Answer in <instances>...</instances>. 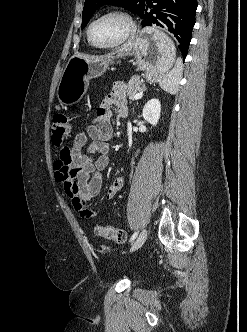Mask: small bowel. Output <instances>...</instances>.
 <instances>
[{
	"label": "small bowel",
	"instance_id": "small-bowel-1",
	"mask_svg": "<svg viewBox=\"0 0 247 332\" xmlns=\"http://www.w3.org/2000/svg\"><path fill=\"white\" fill-rule=\"evenodd\" d=\"M113 109L120 118L128 116L127 100L121 84H118L101 103L92 124L75 136L73 147L62 149L54 163L56 181L63 186L83 219L89 220L97 216V212L92 210L88 203L99 194L102 184L101 172L109 164L108 141L113 133ZM123 184L122 176L115 177L107 188L106 199H113Z\"/></svg>",
	"mask_w": 247,
	"mask_h": 332
}]
</instances>
